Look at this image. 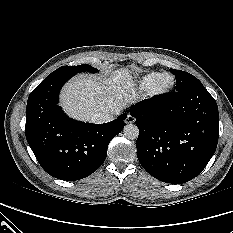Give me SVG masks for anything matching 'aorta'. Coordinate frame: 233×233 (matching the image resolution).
<instances>
[{
	"instance_id": "1",
	"label": "aorta",
	"mask_w": 233,
	"mask_h": 233,
	"mask_svg": "<svg viewBox=\"0 0 233 233\" xmlns=\"http://www.w3.org/2000/svg\"><path fill=\"white\" fill-rule=\"evenodd\" d=\"M123 133H124V136L127 138V139H130V140H135L138 138V135H139V129L136 125L130 123V124H127L124 129H123Z\"/></svg>"
}]
</instances>
